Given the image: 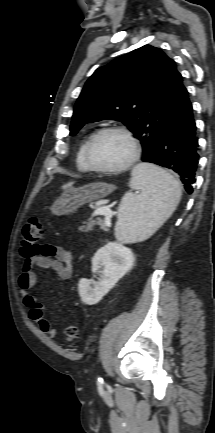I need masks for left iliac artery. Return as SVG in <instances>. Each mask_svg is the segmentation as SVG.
I'll return each instance as SVG.
<instances>
[{
    "instance_id": "obj_1",
    "label": "left iliac artery",
    "mask_w": 215,
    "mask_h": 433,
    "mask_svg": "<svg viewBox=\"0 0 215 433\" xmlns=\"http://www.w3.org/2000/svg\"><path fill=\"white\" fill-rule=\"evenodd\" d=\"M98 381L102 382V381H103V379L99 377V378H98Z\"/></svg>"
}]
</instances>
